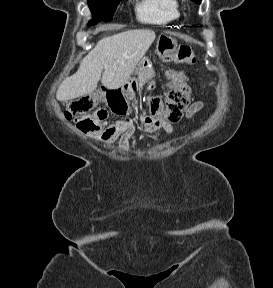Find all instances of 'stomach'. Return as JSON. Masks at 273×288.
Listing matches in <instances>:
<instances>
[{"label":"stomach","mask_w":273,"mask_h":288,"mask_svg":"<svg viewBox=\"0 0 273 288\" xmlns=\"http://www.w3.org/2000/svg\"><path fill=\"white\" fill-rule=\"evenodd\" d=\"M177 41L171 36L160 35L156 43V53L158 56L165 60L171 56V53L176 48ZM137 79H128L122 85V88L127 87V91L136 92L142 91L143 85L148 83L147 90L153 89L150 81L154 77V70L152 68V63L148 57H144L136 68Z\"/></svg>","instance_id":"stomach-1"}]
</instances>
